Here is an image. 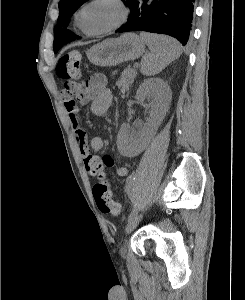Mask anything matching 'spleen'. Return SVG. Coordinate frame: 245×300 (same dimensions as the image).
<instances>
[{
	"instance_id": "spleen-1",
	"label": "spleen",
	"mask_w": 245,
	"mask_h": 300,
	"mask_svg": "<svg viewBox=\"0 0 245 300\" xmlns=\"http://www.w3.org/2000/svg\"><path fill=\"white\" fill-rule=\"evenodd\" d=\"M140 36L150 49L141 61V72L146 76L160 73L182 53L179 42L171 37L144 32Z\"/></svg>"
}]
</instances>
